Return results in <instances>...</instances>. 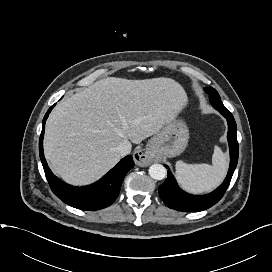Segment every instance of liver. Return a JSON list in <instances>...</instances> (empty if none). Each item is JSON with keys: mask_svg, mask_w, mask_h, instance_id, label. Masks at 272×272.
<instances>
[{"mask_svg": "<svg viewBox=\"0 0 272 272\" xmlns=\"http://www.w3.org/2000/svg\"><path fill=\"white\" fill-rule=\"evenodd\" d=\"M171 78L108 77L62 100L45 130V157L55 174L74 185L91 183L121 159L117 146L156 134L187 105Z\"/></svg>", "mask_w": 272, "mask_h": 272, "instance_id": "1", "label": "liver"}]
</instances>
